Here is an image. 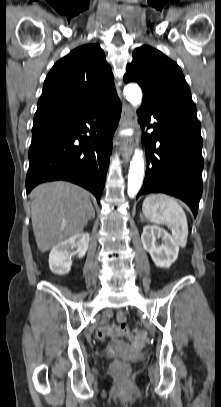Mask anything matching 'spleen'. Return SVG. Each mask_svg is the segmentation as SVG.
Instances as JSON below:
<instances>
[{
	"label": "spleen",
	"mask_w": 221,
	"mask_h": 407,
	"mask_svg": "<svg viewBox=\"0 0 221 407\" xmlns=\"http://www.w3.org/2000/svg\"><path fill=\"white\" fill-rule=\"evenodd\" d=\"M145 217L155 224L167 225L176 243L185 247L188 238L186 214L178 202L166 194H150L142 204Z\"/></svg>",
	"instance_id": "obj_1"
}]
</instances>
